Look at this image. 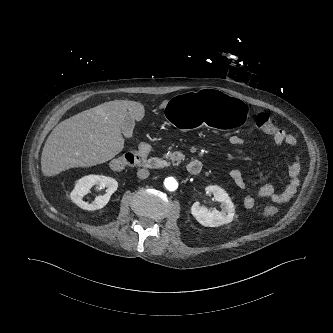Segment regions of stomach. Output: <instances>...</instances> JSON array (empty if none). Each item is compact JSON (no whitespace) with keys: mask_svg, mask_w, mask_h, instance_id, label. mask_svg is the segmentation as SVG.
Returning <instances> with one entry per match:
<instances>
[{"mask_svg":"<svg viewBox=\"0 0 333 333\" xmlns=\"http://www.w3.org/2000/svg\"><path fill=\"white\" fill-rule=\"evenodd\" d=\"M166 114L181 129L206 127L237 131L249 119L248 107L242 100L206 90L173 97L166 105Z\"/></svg>","mask_w":333,"mask_h":333,"instance_id":"1","label":"stomach"}]
</instances>
